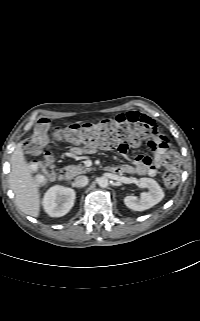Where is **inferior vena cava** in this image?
Segmentation results:
<instances>
[{"instance_id": "602c4592", "label": "inferior vena cava", "mask_w": 200, "mask_h": 321, "mask_svg": "<svg viewBox=\"0 0 200 321\" xmlns=\"http://www.w3.org/2000/svg\"><path fill=\"white\" fill-rule=\"evenodd\" d=\"M89 179L87 176L81 175L75 178V183L78 187H84L88 184Z\"/></svg>"}]
</instances>
